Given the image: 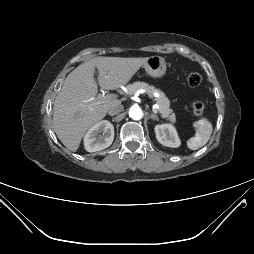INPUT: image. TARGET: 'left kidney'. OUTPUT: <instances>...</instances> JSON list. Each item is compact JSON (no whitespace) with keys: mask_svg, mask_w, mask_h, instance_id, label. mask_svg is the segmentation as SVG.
I'll use <instances>...</instances> for the list:
<instances>
[{"mask_svg":"<svg viewBox=\"0 0 254 254\" xmlns=\"http://www.w3.org/2000/svg\"><path fill=\"white\" fill-rule=\"evenodd\" d=\"M156 138L164 146L177 148L181 142L175 127L171 124H161L155 126Z\"/></svg>","mask_w":254,"mask_h":254,"instance_id":"1","label":"left kidney"}]
</instances>
